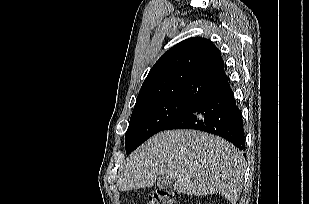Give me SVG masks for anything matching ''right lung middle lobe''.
<instances>
[{
	"label": "right lung middle lobe",
	"instance_id": "right-lung-middle-lobe-1",
	"mask_svg": "<svg viewBox=\"0 0 309 204\" xmlns=\"http://www.w3.org/2000/svg\"><path fill=\"white\" fill-rule=\"evenodd\" d=\"M196 103L187 99H158L135 104L125 134L127 155Z\"/></svg>",
	"mask_w": 309,
	"mask_h": 204
}]
</instances>
